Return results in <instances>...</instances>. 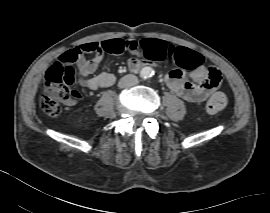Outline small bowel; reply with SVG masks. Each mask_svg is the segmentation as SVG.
Segmentation results:
<instances>
[{"instance_id":"1","label":"small bowel","mask_w":270,"mask_h":213,"mask_svg":"<svg viewBox=\"0 0 270 213\" xmlns=\"http://www.w3.org/2000/svg\"><path fill=\"white\" fill-rule=\"evenodd\" d=\"M107 41L84 42L77 46L80 55L77 60V68L80 74L79 83L81 86L91 90H97L111 86L115 77L109 73L94 75L98 70L102 56L106 50ZM154 43L156 48L148 53L146 59L131 58L128 60V67L131 71L137 72L145 64L154 60L171 61L174 68L168 72L166 77L167 85L171 90L188 102H201L212 93L220 84V73L215 76L206 67H197L190 72L191 81L186 80L184 69L192 62V53L183 47H177L160 39H146L140 41ZM94 53L93 58L87 60L86 55Z\"/></svg>"}]
</instances>
